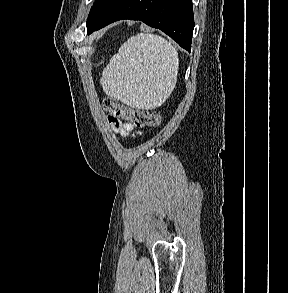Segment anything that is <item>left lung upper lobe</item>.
I'll return each instance as SVG.
<instances>
[{
    "label": "left lung upper lobe",
    "mask_w": 288,
    "mask_h": 293,
    "mask_svg": "<svg viewBox=\"0 0 288 293\" xmlns=\"http://www.w3.org/2000/svg\"><path fill=\"white\" fill-rule=\"evenodd\" d=\"M120 0H96L87 19V34Z\"/></svg>",
    "instance_id": "1"
}]
</instances>
